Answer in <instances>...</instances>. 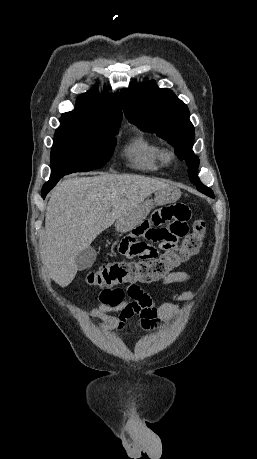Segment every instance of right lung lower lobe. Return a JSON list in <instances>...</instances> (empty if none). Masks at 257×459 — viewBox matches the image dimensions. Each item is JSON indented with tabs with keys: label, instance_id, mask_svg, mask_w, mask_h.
Masks as SVG:
<instances>
[{
	"label": "right lung lower lobe",
	"instance_id": "1",
	"mask_svg": "<svg viewBox=\"0 0 257 459\" xmlns=\"http://www.w3.org/2000/svg\"><path fill=\"white\" fill-rule=\"evenodd\" d=\"M62 176L57 177H50L49 181L46 182L42 188L41 196L45 198L47 193L57 184V182L61 179Z\"/></svg>",
	"mask_w": 257,
	"mask_h": 459
}]
</instances>
